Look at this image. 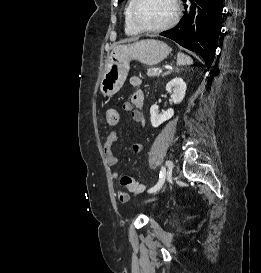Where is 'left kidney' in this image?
Instances as JSON below:
<instances>
[{
    "mask_svg": "<svg viewBox=\"0 0 261 273\" xmlns=\"http://www.w3.org/2000/svg\"><path fill=\"white\" fill-rule=\"evenodd\" d=\"M186 83L183 81L182 78L176 77L172 79L166 85V90L171 94V99L174 104H179L186 92ZM150 115H151V124L154 128H157L165 121L171 119L174 115V110L172 108L168 109L167 111L159 114L158 105L154 104L150 108Z\"/></svg>",
    "mask_w": 261,
    "mask_h": 273,
    "instance_id": "5707ae66",
    "label": "left kidney"
}]
</instances>
